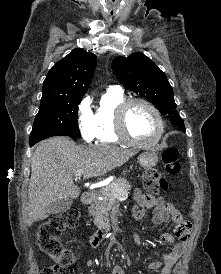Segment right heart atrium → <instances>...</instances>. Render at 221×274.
<instances>
[{
    "label": "right heart atrium",
    "instance_id": "1",
    "mask_svg": "<svg viewBox=\"0 0 221 274\" xmlns=\"http://www.w3.org/2000/svg\"><path fill=\"white\" fill-rule=\"evenodd\" d=\"M78 128L81 136L87 142L95 139V120L91 110L89 97H84L78 105Z\"/></svg>",
    "mask_w": 221,
    "mask_h": 274
}]
</instances>
